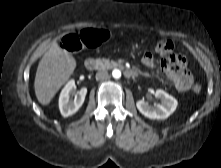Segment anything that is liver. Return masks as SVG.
<instances>
[{
  "mask_svg": "<svg viewBox=\"0 0 221 168\" xmlns=\"http://www.w3.org/2000/svg\"><path fill=\"white\" fill-rule=\"evenodd\" d=\"M75 68V58L54 42L43 55L36 71L34 90L39 103L49 105Z\"/></svg>",
  "mask_w": 221,
  "mask_h": 168,
  "instance_id": "6515ba94",
  "label": "liver"
}]
</instances>
